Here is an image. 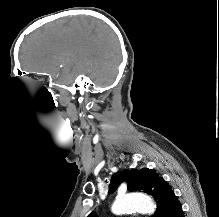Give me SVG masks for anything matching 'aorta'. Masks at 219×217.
Instances as JSON below:
<instances>
[{
  "mask_svg": "<svg viewBox=\"0 0 219 217\" xmlns=\"http://www.w3.org/2000/svg\"><path fill=\"white\" fill-rule=\"evenodd\" d=\"M155 204L149 196L124 195L116 198L112 205V212L116 215H121L127 212H144L152 213L155 210Z\"/></svg>",
  "mask_w": 219,
  "mask_h": 217,
  "instance_id": "obj_1",
  "label": "aorta"
}]
</instances>
